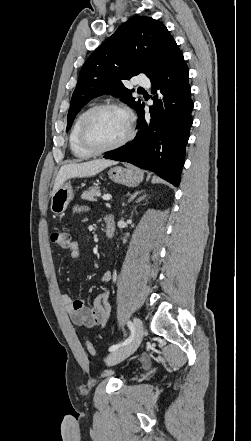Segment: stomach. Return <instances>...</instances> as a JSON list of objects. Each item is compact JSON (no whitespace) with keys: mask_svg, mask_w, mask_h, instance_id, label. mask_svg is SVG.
I'll return each mask as SVG.
<instances>
[{"mask_svg":"<svg viewBox=\"0 0 251 441\" xmlns=\"http://www.w3.org/2000/svg\"><path fill=\"white\" fill-rule=\"evenodd\" d=\"M109 178L118 184H123L128 187H136L140 182V176L137 171L132 168H124L116 166L108 171ZM74 197V192L70 182L64 183L51 198V211L54 214L63 213L71 200Z\"/></svg>","mask_w":251,"mask_h":441,"instance_id":"1","label":"stomach"}]
</instances>
